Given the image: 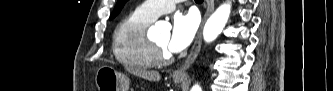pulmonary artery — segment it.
<instances>
[{
    "mask_svg": "<svg viewBox=\"0 0 333 91\" xmlns=\"http://www.w3.org/2000/svg\"><path fill=\"white\" fill-rule=\"evenodd\" d=\"M177 1H146L137 7L144 16L154 20L162 14L172 12Z\"/></svg>",
    "mask_w": 333,
    "mask_h": 91,
    "instance_id": "1",
    "label": "pulmonary artery"
}]
</instances>
